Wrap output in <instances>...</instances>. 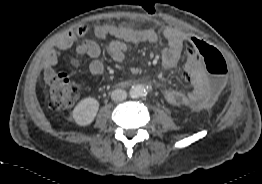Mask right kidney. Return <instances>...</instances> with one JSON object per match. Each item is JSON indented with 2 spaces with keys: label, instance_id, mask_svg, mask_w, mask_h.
I'll return each mask as SVG.
<instances>
[{
  "label": "right kidney",
  "instance_id": "1",
  "mask_svg": "<svg viewBox=\"0 0 262 184\" xmlns=\"http://www.w3.org/2000/svg\"><path fill=\"white\" fill-rule=\"evenodd\" d=\"M99 109V102L91 97L81 100L73 110L74 121L80 126L89 125Z\"/></svg>",
  "mask_w": 262,
  "mask_h": 184
}]
</instances>
